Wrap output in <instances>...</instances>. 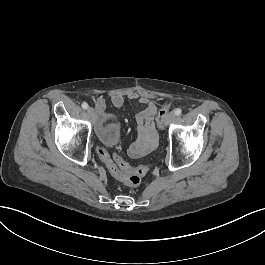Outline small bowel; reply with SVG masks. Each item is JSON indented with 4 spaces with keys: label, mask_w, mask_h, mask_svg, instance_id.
Masks as SVG:
<instances>
[{
    "label": "small bowel",
    "mask_w": 265,
    "mask_h": 265,
    "mask_svg": "<svg viewBox=\"0 0 265 265\" xmlns=\"http://www.w3.org/2000/svg\"><path fill=\"white\" fill-rule=\"evenodd\" d=\"M129 100L137 101L142 108L136 114V120L140 131V138L129 149V155L131 157H142L148 151L154 149L156 145L155 127L153 118L157 110L156 103L148 95H139L135 92H130L126 95ZM125 101V96L120 92H112L110 96V102L114 107H121ZM96 111H103V104L101 98L95 99ZM110 173L113 174L115 170H120L119 165L113 160L110 155L103 162Z\"/></svg>",
    "instance_id": "small-bowel-1"
}]
</instances>
